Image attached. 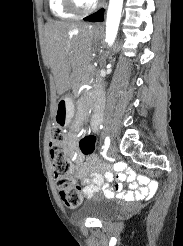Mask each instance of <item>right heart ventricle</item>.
I'll return each mask as SVG.
<instances>
[{"label":"right heart ventricle","mask_w":183,"mask_h":246,"mask_svg":"<svg viewBox=\"0 0 183 246\" xmlns=\"http://www.w3.org/2000/svg\"><path fill=\"white\" fill-rule=\"evenodd\" d=\"M49 8L51 13L57 18L68 19L75 16L74 13L66 8L64 0H49Z\"/></svg>","instance_id":"right-heart-ventricle-1"}]
</instances>
